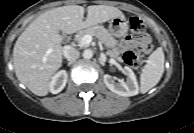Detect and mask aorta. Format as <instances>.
<instances>
[{
    "instance_id": "1",
    "label": "aorta",
    "mask_w": 194,
    "mask_h": 133,
    "mask_svg": "<svg viewBox=\"0 0 194 133\" xmlns=\"http://www.w3.org/2000/svg\"><path fill=\"white\" fill-rule=\"evenodd\" d=\"M93 56V52L90 49H86L83 51V57L84 59H91Z\"/></svg>"
}]
</instances>
